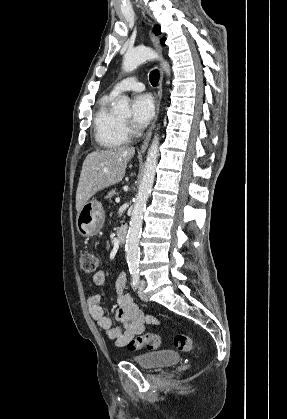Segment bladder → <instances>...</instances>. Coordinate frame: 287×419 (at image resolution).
Here are the masks:
<instances>
[{
    "instance_id": "bladder-1",
    "label": "bladder",
    "mask_w": 287,
    "mask_h": 419,
    "mask_svg": "<svg viewBox=\"0 0 287 419\" xmlns=\"http://www.w3.org/2000/svg\"><path fill=\"white\" fill-rule=\"evenodd\" d=\"M179 356L170 350L155 351L142 354L133 361L144 369H161L179 362Z\"/></svg>"
}]
</instances>
